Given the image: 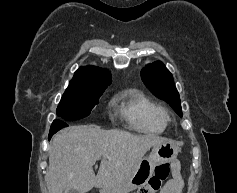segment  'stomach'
<instances>
[{"label": "stomach", "instance_id": "stomach-1", "mask_svg": "<svg viewBox=\"0 0 237 193\" xmlns=\"http://www.w3.org/2000/svg\"><path fill=\"white\" fill-rule=\"evenodd\" d=\"M179 147L170 141L153 146L151 153L140 162L133 174L118 184L105 187L100 193H129L135 189L145 186L152 177L154 168L161 163L170 162L176 159Z\"/></svg>", "mask_w": 237, "mask_h": 193}]
</instances>
